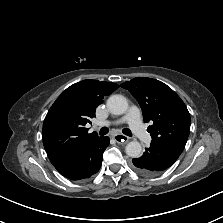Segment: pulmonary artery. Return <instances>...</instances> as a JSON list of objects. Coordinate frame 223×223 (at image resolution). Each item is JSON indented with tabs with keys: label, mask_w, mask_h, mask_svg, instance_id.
<instances>
[{
	"label": "pulmonary artery",
	"mask_w": 223,
	"mask_h": 223,
	"mask_svg": "<svg viewBox=\"0 0 223 223\" xmlns=\"http://www.w3.org/2000/svg\"><path fill=\"white\" fill-rule=\"evenodd\" d=\"M123 123H128L132 131L136 134V136L142 141L147 142L150 140L149 134L146 132L141 119H140V111L136 106L130 107L128 113L115 121H107L99 123L100 126H109V125H119Z\"/></svg>",
	"instance_id": "e3ab8cb5"
}]
</instances>
